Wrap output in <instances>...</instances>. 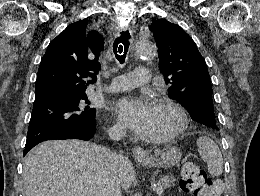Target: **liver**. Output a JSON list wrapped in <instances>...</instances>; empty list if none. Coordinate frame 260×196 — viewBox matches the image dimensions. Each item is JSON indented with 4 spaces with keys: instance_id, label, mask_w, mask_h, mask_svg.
Returning a JSON list of instances; mask_svg holds the SVG:
<instances>
[{
    "instance_id": "obj_1",
    "label": "liver",
    "mask_w": 260,
    "mask_h": 196,
    "mask_svg": "<svg viewBox=\"0 0 260 196\" xmlns=\"http://www.w3.org/2000/svg\"><path fill=\"white\" fill-rule=\"evenodd\" d=\"M111 150L82 140H48L27 154L22 182L25 196H105ZM120 188L135 184V170L127 156L118 154Z\"/></svg>"
}]
</instances>
